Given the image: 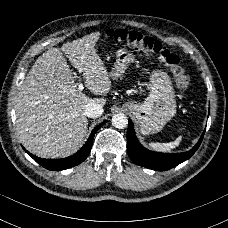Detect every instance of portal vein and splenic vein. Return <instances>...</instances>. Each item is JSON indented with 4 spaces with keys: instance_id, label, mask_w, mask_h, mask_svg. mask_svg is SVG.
<instances>
[{
    "instance_id": "obj_1",
    "label": "portal vein and splenic vein",
    "mask_w": 228,
    "mask_h": 228,
    "mask_svg": "<svg viewBox=\"0 0 228 228\" xmlns=\"http://www.w3.org/2000/svg\"><path fill=\"white\" fill-rule=\"evenodd\" d=\"M74 77L76 78V80L78 82V89L79 90L84 89V82L82 81L81 77L77 73L74 74Z\"/></svg>"
}]
</instances>
